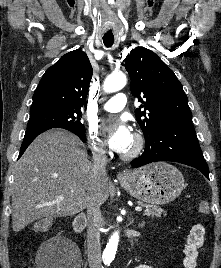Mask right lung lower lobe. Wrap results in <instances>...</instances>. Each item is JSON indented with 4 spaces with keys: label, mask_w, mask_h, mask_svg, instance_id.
<instances>
[{
    "label": "right lung lower lobe",
    "mask_w": 221,
    "mask_h": 268,
    "mask_svg": "<svg viewBox=\"0 0 221 268\" xmlns=\"http://www.w3.org/2000/svg\"><path fill=\"white\" fill-rule=\"evenodd\" d=\"M51 128H47V127H39V128H33V129H28L25 132V136L23 139V143L20 149V154H19V158L22 156V154L24 153V151L26 150V148L31 144V142L42 132L49 130ZM73 133H75L77 136H79V138L85 143L86 142V137H85V133H80L78 131H74V130H69Z\"/></svg>",
    "instance_id": "right-lung-lower-lobe-1"
}]
</instances>
